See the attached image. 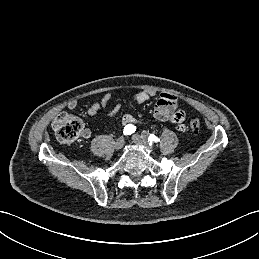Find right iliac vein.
<instances>
[{"label":"right iliac vein","mask_w":259,"mask_h":259,"mask_svg":"<svg viewBox=\"0 0 259 259\" xmlns=\"http://www.w3.org/2000/svg\"><path fill=\"white\" fill-rule=\"evenodd\" d=\"M124 143H125L124 137H119V138L116 140V142H115L114 148H115L116 150H120V149H122Z\"/></svg>","instance_id":"63e3f726"}]
</instances>
